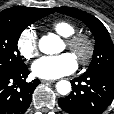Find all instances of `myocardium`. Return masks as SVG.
Listing matches in <instances>:
<instances>
[{"mask_svg":"<svg viewBox=\"0 0 114 114\" xmlns=\"http://www.w3.org/2000/svg\"><path fill=\"white\" fill-rule=\"evenodd\" d=\"M65 43L81 64H87L94 55L95 43L87 34L74 33L66 38Z\"/></svg>","mask_w":114,"mask_h":114,"instance_id":"myocardium-1","label":"myocardium"}]
</instances>
